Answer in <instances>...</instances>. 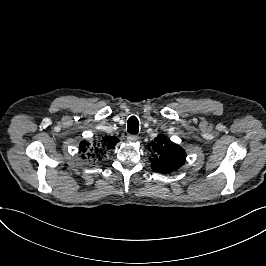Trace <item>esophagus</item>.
Returning <instances> with one entry per match:
<instances>
[{
	"label": "esophagus",
	"instance_id": "1",
	"mask_svg": "<svg viewBox=\"0 0 266 266\" xmlns=\"http://www.w3.org/2000/svg\"><path fill=\"white\" fill-rule=\"evenodd\" d=\"M127 140L129 142H136L138 140V136L134 134H128L127 135Z\"/></svg>",
	"mask_w": 266,
	"mask_h": 266
}]
</instances>
